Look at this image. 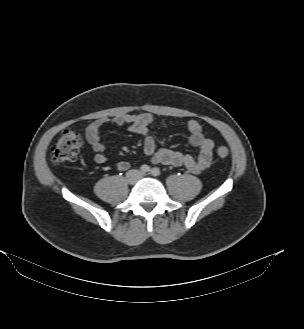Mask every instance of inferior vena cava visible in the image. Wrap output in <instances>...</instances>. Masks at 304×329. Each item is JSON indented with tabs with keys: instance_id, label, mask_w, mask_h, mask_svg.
Here are the masks:
<instances>
[{
	"instance_id": "1",
	"label": "inferior vena cava",
	"mask_w": 304,
	"mask_h": 329,
	"mask_svg": "<svg viewBox=\"0 0 304 329\" xmlns=\"http://www.w3.org/2000/svg\"><path fill=\"white\" fill-rule=\"evenodd\" d=\"M127 175H129V176L134 175V179L138 180L139 178H141L142 173L138 170H130L127 172Z\"/></svg>"
}]
</instances>
